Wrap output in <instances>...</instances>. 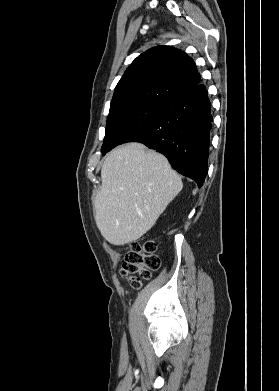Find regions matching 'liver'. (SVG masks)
Returning a JSON list of instances; mask_svg holds the SVG:
<instances>
[{"mask_svg": "<svg viewBox=\"0 0 279 391\" xmlns=\"http://www.w3.org/2000/svg\"><path fill=\"white\" fill-rule=\"evenodd\" d=\"M101 180L94 201L95 221L102 236L114 245L142 237L183 188L165 156L140 143L113 150L104 161Z\"/></svg>", "mask_w": 279, "mask_h": 391, "instance_id": "1", "label": "liver"}]
</instances>
